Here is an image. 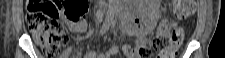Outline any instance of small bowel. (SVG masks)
Returning a JSON list of instances; mask_svg holds the SVG:
<instances>
[{
    "label": "small bowel",
    "mask_w": 225,
    "mask_h": 58,
    "mask_svg": "<svg viewBox=\"0 0 225 58\" xmlns=\"http://www.w3.org/2000/svg\"><path fill=\"white\" fill-rule=\"evenodd\" d=\"M64 22L69 28L70 31L74 33H84L87 31V23L85 20H78V21H69L64 17ZM128 32L130 34H133L137 37L135 41V46L146 43L147 42V32L148 31H142L140 29H137L136 27H130L128 29ZM129 45H123L122 47H119L118 45H112L108 50L105 52L96 54L95 52H89L84 57L85 58H111L112 56L118 54L120 51L123 52L125 58H133V49ZM71 51V48L66 49L65 55H67Z\"/></svg>",
    "instance_id": "c3829d8e"
}]
</instances>
